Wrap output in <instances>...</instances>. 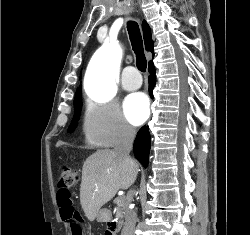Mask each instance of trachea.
<instances>
[{
  "instance_id": "trachea-1",
  "label": "trachea",
  "mask_w": 250,
  "mask_h": 235,
  "mask_svg": "<svg viewBox=\"0 0 250 235\" xmlns=\"http://www.w3.org/2000/svg\"><path fill=\"white\" fill-rule=\"evenodd\" d=\"M127 29L134 53L136 54V65L141 72H145L147 61L144 55L143 40L138 24L135 21L127 22Z\"/></svg>"
}]
</instances>
